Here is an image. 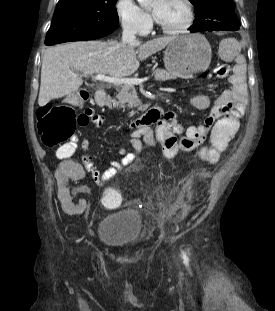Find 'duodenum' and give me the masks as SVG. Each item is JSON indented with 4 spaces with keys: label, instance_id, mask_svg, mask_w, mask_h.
Returning a JSON list of instances; mask_svg holds the SVG:
<instances>
[{
    "label": "duodenum",
    "instance_id": "410a0bca",
    "mask_svg": "<svg viewBox=\"0 0 275 311\" xmlns=\"http://www.w3.org/2000/svg\"><path fill=\"white\" fill-rule=\"evenodd\" d=\"M73 96H70V98H72ZM96 99L99 103L101 104H106L107 102H109V98L106 96V93L103 89H98L96 92ZM161 109L159 107H155L153 109H151L150 111H148L145 115H143L140 118H137L136 120L133 121V123L131 124V126L133 128L136 127H142L145 126V120L147 119V116L149 113L151 112H155V110Z\"/></svg>",
    "mask_w": 275,
    "mask_h": 311
}]
</instances>
